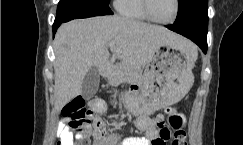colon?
<instances>
[{
    "label": "colon",
    "instance_id": "colon-1",
    "mask_svg": "<svg viewBox=\"0 0 243 145\" xmlns=\"http://www.w3.org/2000/svg\"><path fill=\"white\" fill-rule=\"evenodd\" d=\"M166 113L168 115L167 122L163 119L157 121V128L161 137H166L167 132L170 131L166 126L167 124L174 131L172 145H188L185 131V116L172 107L167 108ZM93 115V110L86 108L85 101L82 98L72 100L62 109V116L68 122L69 128L73 133L82 134L89 132L93 122ZM80 145H87V143L83 142Z\"/></svg>",
    "mask_w": 243,
    "mask_h": 145
}]
</instances>
